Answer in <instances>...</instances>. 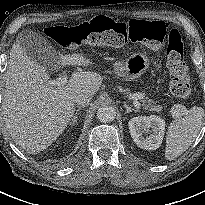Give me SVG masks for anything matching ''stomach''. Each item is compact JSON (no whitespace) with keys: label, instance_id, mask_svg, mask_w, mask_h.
<instances>
[{"label":"stomach","instance_id":"obj_1","mask_svg":"<svg viewBox=\"0 0 205 205\" xmlns=\"http://www.w3.org/2000/svg\"><path fill=\"white\" fill-rule=\"evenodd\" d=\"M150 66V59L141 52L133 53L124 62L116 63L114 71L125 79H135L144 74Z\"/></svg>","mask_w":205,"mask_h":205}]
</instances>
